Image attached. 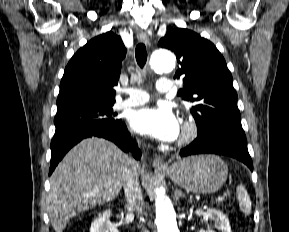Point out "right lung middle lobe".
Masks as SVG:
<instances>
[{
	"mask_svg": "<svg viewBox=\"0 0 289 232\" xmlns=\"http://www.w3.org/2000/svg\"><path fill=\"white\" fill-rule=\"evenodd\" d=\"M113 104H77L58 108L54 119L56 128L68 125H111L115 119Z\"/></svg>",
	"mask_w": 289,
	"mask_h": 232,
	"instance_id": "dd1d6c3e",
	"label": "right lung middle lobe"
}]
</instances>
